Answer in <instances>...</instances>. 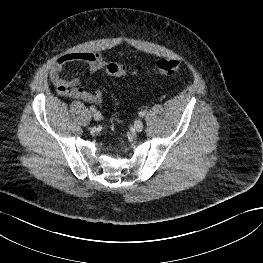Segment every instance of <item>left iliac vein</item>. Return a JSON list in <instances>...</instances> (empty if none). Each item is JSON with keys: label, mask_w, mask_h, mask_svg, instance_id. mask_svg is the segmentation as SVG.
<instances>
[{"label": "left iliac vein", "mask_w": 263, "mask_h": 263, "mask_svg": "<svg viewBox=\"0 0 263 263\" xmlns=\"http://www.w3.org/2000/svg\"><path fill=\"white\" fill-rule=\"evenodd\" d=\"M143 127H144V124L141 120H136L134 122V129L137 131V132H141L143 130Z\"/></svg>", "instance_id": "left-iliac-vein-1"}]
</instances>
